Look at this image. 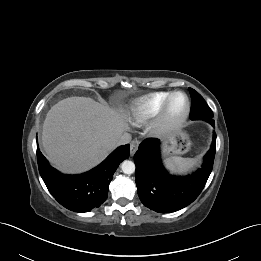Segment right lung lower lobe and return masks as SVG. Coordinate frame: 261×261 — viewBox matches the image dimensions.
Returning <instances> with one entry per match:
<instances>
[{
	"label": "right lung lower lobe",
	"mask_w": 261,
	"mask_h": 261,
	"mask_svg": "<svg viewBox=\"0 0 261 261\" xmlns=\"http://www.w3.org/2000/svg\"><path fill=\"white\" fill-rule=\"evenodd\" d=\"M129 154V144L120 146L97 167L80 175L59 173L39 149L37 160L40 175L52 196L69 210L89 212L106 200L113 174Z\"/></svg>",
	"instance_id": "1"
}]
</instances>
